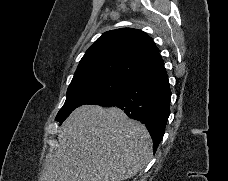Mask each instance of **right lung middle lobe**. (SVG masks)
<instances>
[{
    "label": "right lung middle lobe",
    "mask_w": 228,
    "mask_h": 181,
    "mask_svg": "<svg viewBox=\"0 0 228 181\" xmlns=\"http://www.w3.org/2000/svg\"><path fill=\"white\" fill-rule=\"evenodd\" d=\"M130 80L112 75H93L72 80L66 101L55 120L62 124L75 108L83 104L99 105L112 99Z\"/></svg>",
    "instance_id": "1"
}]
</instances>
